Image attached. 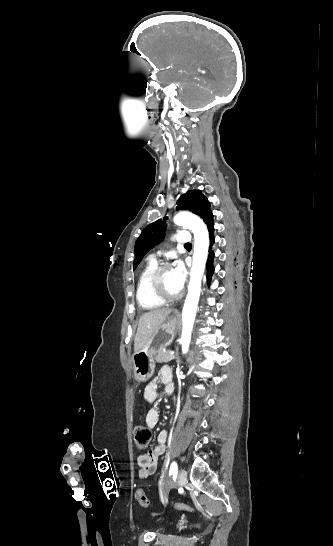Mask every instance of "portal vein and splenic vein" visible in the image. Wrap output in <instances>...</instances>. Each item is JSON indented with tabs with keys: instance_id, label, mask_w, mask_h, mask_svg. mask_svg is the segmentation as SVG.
I'll use <instances>...</instances> for the list:
<instances>
[{
	"instance_id": "18ae733b",
	"label": "portal vein and splenic vein",
	"mask_w": 333,
	"mask_h": 546,
	"mask_svg": "<svg viewBox=\"0 0 333 546\" xmlns=\"http://www.w3.org/2000/svg\"><path fill=\"white\" fill-rule=\"evenodd\" d=\"M169 353H170L171 355H174V351H170Z\"/></svg>"
}]
</instances>
